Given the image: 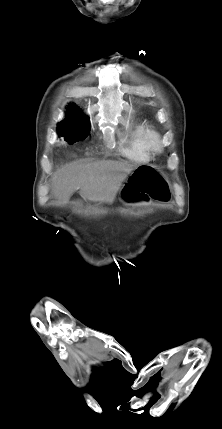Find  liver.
Returning <instances> with one entry per match:
<instances>
[{
	"label": "liver",
	"instance_id": "6515ba94",
	"mask_svg": "<svg viewBox=\"0 0 222 429\" xmlns=\"http://www.w3.org/2000/svg\"><path fill=\"white\" fill-rule=\"evenodd\" d=\"M135 169L133 164L115 160L72 163L54 173L51 191L60 206L67 204L77 190L84 200L111 204Z\"/></svg>",
	"mask_w": 222,
	"mask_h": 429
}]
</instances>
